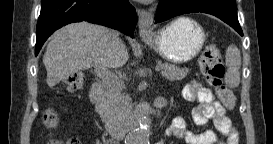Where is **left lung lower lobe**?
<instances>
[{
	"mask_svg": "<svg viewBox=\"0 0 273 144\" xmlns=\"http://www.w3.org/2000/svg\"><path fill=\"white\" fill-rule=\"evenodd\" d=\"M192 12L214 15L233 27L241 36L243 35L237 18L235 0H160L155 22L159 23Z\"/></svg>",
	"mask_w": 273,
	"mask_h": 144,
	"instance_id": "0a47b994",
	"label": "left lung lower lobe"
}]
</instances>
